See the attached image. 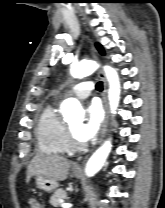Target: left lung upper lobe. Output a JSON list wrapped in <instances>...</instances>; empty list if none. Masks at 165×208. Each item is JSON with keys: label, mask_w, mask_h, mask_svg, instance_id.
Wrapping results in <instances>:
<instances>
[{"label": "left lung upper lobe", "mask_w": 165, "mask_h": 208, "mask_svg": "<svg viewBox=\"0 0 165 208\" xmlns=\"http://www.w3.org/2000/svg\"><path fill=\"white\" fill-rule=\"evenodd\" d=\"M96 47H97V49L99 50V52L102 54V55H104V50H103V48H102V46L100 45V44H96Z\"/></svg>", "instance_id": "left-lung-upper-lobe-1"}]
</instances>
